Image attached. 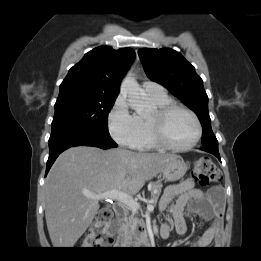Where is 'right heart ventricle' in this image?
<instances>
[{
	"label": "right heart ventricle",
	"instance_id": "obj_1",
	"mask_svg": "<svg viewBox=\"0 0 261 261\" xmlns=\"http://www.w3.org/2000/svg\"><path fill=\"white\" fill-rule=\"evenodd\" d=\"M147 97L154 108L164 106L171 102V99L166 93L159 95L147 94ZM135 118L139 125V137L134 148H137L139 150H150L157 148L158 146L154 143L150 134L148 115L136 113Z\"/></svg>",
	"mask_w": 261,
	"mask_h": 261
}]
</instances>
